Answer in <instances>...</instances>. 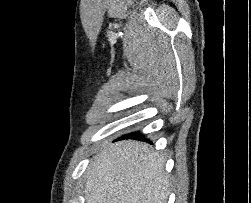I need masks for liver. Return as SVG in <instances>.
I'll return each instance as SVG.
<instances>
[{"mask_svg": "<svg viewBox=\"0 0 251 203\" xmlns=\"http://www.w3.org/2000/svg\"><path fill=\"white\" fill-rule=\"evenodd\" d=\"M86 203H167L168 179L159 153L146 143L109 144L86 172Z\"/></svg>", "mask_w": 251, "mask_h": 203, "instance_id": "1", "label": "liver"}]
</instances>
